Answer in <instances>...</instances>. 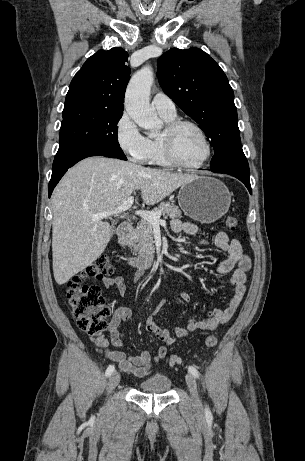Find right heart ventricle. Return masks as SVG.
<instances>
[{
  "mask_svg": "<svg viewBox=\"0 0 305 461\" xmlns=\"http://www.w3.org/2000/svg\"><path fill=\"white\" fill-rule=\"evenodd\" d=\"M161 117L164 119L166 123L175 120V116L161 115ZM147 141V155L144 162L147 164L157 165L161 167H171L172 164L166 159L163 152L161 136H150L149 138H147Z\"/></svg>",
  "mask_w": 305,
  "mask_h": 461,
  "instance_id": "1",
  "label": "right heart ventricle"
}]
</instances>
